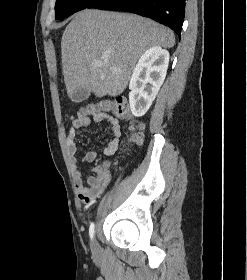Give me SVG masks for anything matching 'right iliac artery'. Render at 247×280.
Segmentation results:
<instances>
[{
    "label": "right iliac artery",
    "instance_id": "1",
    "mask_svg": "<svg viewBox=\"0 0 247 280\" xmlns=\"http://www.w3.org/2000/svg\"><path fill=\"white\" fill-rule=\"evenodd\" d=\"M94 233H95V225L94 223H91L90 228H89V235L91 240L94 238Z\"/></svg>",
    "mask_w": 247,
    "mask_h": 280
}]
</instances>
